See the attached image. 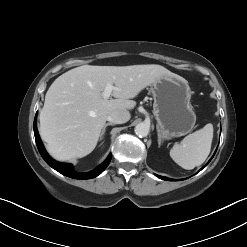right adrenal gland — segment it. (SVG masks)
Masks as SVG:
<instances>
[{
	"instance_id": "obj_1",
	"label": "right adrenal gland",
	"mask_w": 247,
	"mask_h": 247,
	"mask_svg": "<svg viewBox=\"0 0 247 247\" xmlns=\"http://www.w3.org/2000/svg\"><path fill=\"white\" fill-rule=\"evenodd\" d=\"M113 125H114L113 123H106V124H105V126H104V128H103V130H102V132H101V138H102L103 135L105 134L107 126H113Z\"/></svg>"
}]
</instances>
